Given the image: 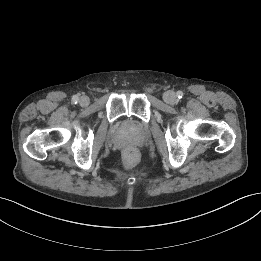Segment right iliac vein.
<instances>
[{
	"label": "right iliac vein",
	"instance_id": "right-iliac-vein-1",
	"mask_svg": "<svg viewBox=\"0 0 261 261\" xmlns=\"http://www.w3.org/2000/svg\"><path fill=\"white\" fill-rule=\"evenodd\" d=\"M81 106H87L89 104V98L87 96H82L79 100Z\"/></svg>",
	"mask_w": 261,
	"mask_h": 261
}]
</instances>
